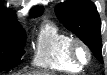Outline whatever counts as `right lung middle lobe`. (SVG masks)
<instances>
[{"mask_svg": "<svg viewBox=\"0 0 107 75\" xmlns=\"http://www.w3.org/2000/svg\"><path fill=\"white\" fill-rule=\"evenodd\" d=\"M25 39V31L19 24H10L0 30V71L20 64L25 53Z\"/></svg>", "mask_w": 107, "mask_h": 75, "instance_id": "dd1d6c3e", "label": "right lung middle lobe"}]
</instances>
